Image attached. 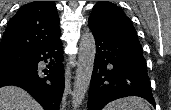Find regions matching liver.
Listing matches in <instances>:
<instances>
[{
    "mask_svg": "<svg viewBox=\"0 0 171 110\" xmlns=\"http://www.w3.org/2000/svg\"><path fill=\"white\" fill-rule=\"evenodd\" d=\"M0 110H42L23 89L15 86L0 88Z\"/></svg>",
    "mask_w": 171,
    "mask_h": 110,
    "instance_id": "6515ba94",
    "label": "liver"
}]
</instances>
